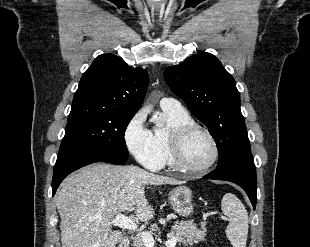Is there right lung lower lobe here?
Wrapping results in <instances>:
<instances>
[{
    "instance_id": "obj_1",
    "label": "right lung lower lobe",
    "mask_w": 310,
    "mask_h": 247,
    "mask_svg": "<svg viewBox=\"0 0 310 247\" xmlns=\"http://www.w3.org/2000/svg\"><path fill=\"white\" fill-rule=\"evenodd\" d=\"M127 157L108 152L75 149L59 153L54 166L52 180V196H54L62 180L73 171L95 162L123 164Z\"/></svg>"
}]
</instances>
